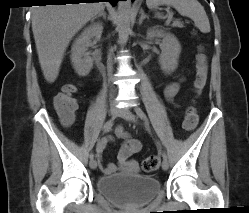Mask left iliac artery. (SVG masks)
Here are the masks:
<instances>
[{
	"label": "left iliac artery",
	"instance_id": "left-iliac-artery-1",
	"mask_svg": "<svg viewBox=\"0 0 249 213\" xmlns=\"http://www.w3.org/2000/svg\"><path fill=\"white\" fill-rule=\"evenodd\" d=\"M135 112H136V114H137L142 120H144L146 123H148L147 116H146V114L144 113V111H143L140 107L136 106V107H135ZM162 157H163V159H167V154H166L165 151L163 152Z\"/></svg>",
	"mask_w": 249,
	"mask_h": 213
}]
</instances>
